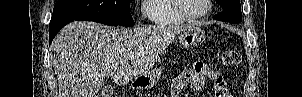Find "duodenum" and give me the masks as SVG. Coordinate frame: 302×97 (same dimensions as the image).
Segmentation results:
<instances>
[{
  "label": "duodenum",
  "mask_w": 302,
  "mask_h": 97,
  "mask_svg": "<svg viewBox=\"0 0 302 97\" xmlns=\"http://www.w3.org/2000/svg\"><path fill=\"white\" fill-rule=\"evenodd\" d=\"M132 86L134 89H138L141 86H143V81L140 78H138L133 82Z\"/></svg>",
  "instance_id": "410a0bca"
}]
</instances>
